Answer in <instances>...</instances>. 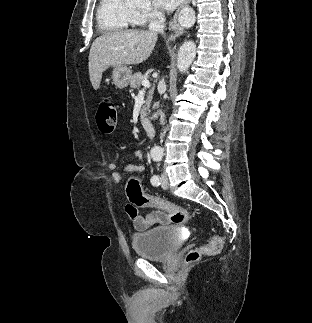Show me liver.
<instances>
[{"label": "liver", "mask_w": 312, "mask_h": 323, "mask_svg": "<svg viewBox=\"0 0 312 323\" xmlns=\"http://www.w3.org/2000/svg\"><path fill=\"white\" fill-rule=\"evenodd\" d=\"M157 38V32L148 30H118L96 38L89 54V76L94 90H98L103 72L111 66H131L148 60Z\"/></svg>", "instance_id": "liver-1"}]
</instances>
